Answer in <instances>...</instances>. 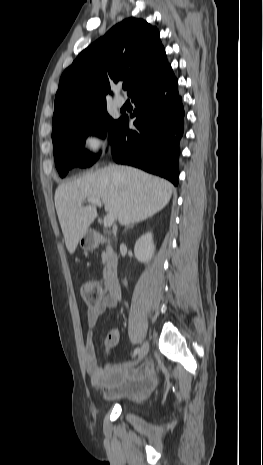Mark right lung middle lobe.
I'll return each instance as SVG.
<instances>
[{
	"label": "right lung middle lobe",
	"mask_w": 263,
	"mask_h": 465,
	"mask_svg": "<svg viewBox=\"0 0 263 465\" xmlns=\"http://www.w3.org/2000/svg\"><path fill=\"white\" fill-rule=\"evenodd\" d=\"M119 120H113L106 111V103L94 107L75 110L53 124L52 141L55 165L61 177L73 166L87 167L97 156L84 149L89 134L109 138Z\"/></svg>",
	"instance_id": "1"
}]
</instances>
